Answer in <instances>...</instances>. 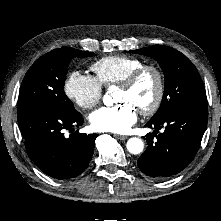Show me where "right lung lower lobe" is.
Returning a JSON list of instances; mask_svg holds the SVG:
<instances>
[{
	"mask_svg": "<svg viewBox=\"0 0 221 221\" xmlns=\"http://www.w3.org/2000/svg\"><path fill=\"white\" fill-rule=\"evenodd\" d=\"M26 151L33 162L48 176L69 179L80 175L94 153L97 134L73 131L84 120L80 113L65 114L42 104H30L17 110Z\"/></svg>",
	"mask_w": 221,
	"mask_h": 221,
	"instance_id": "right-lung-lower-lobe-1",
	"label": "right lung lower lobe"
}]
</instances>
